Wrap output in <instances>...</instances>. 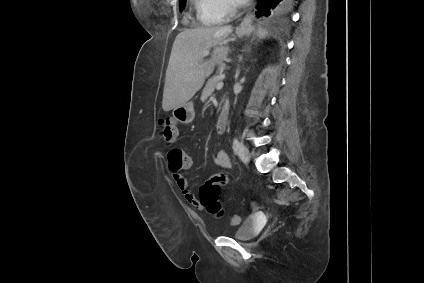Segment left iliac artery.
<instances>
[{
	"label": "left iliac artery",
	"instance_id": "obj_1",
	"mask_svg": "<svg viewBox=\"0 0 424 283\" xmlns=\"http://www.w3.org/2000/svg\"><path fill=\"white\" fill-rule=\"evenodd\" d=\"M240 142L238 141V139L237 138H234L233 139V149H234V151L235 152H237V150L240 148Z\"/></svg>",
	"mask_w": 424,
	"mask_h": 283
}]
</instances>
